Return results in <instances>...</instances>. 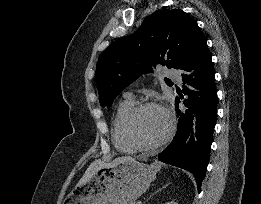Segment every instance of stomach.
Masks as SVG:
<instances>
[{"instance_id": "obj_1", "label": "stomach", "mask_w": 261, "mask_h": 204, "mask_svg": "<svg viewBox=\"0 0 261 204\" xmlns=\"http://www.w3.org/2000/svg\"><path fill=\"white\" fill-rule=\"evenodd\" d=\"M160 165L136 160L103 167L83 185L77 184L63 204H135L156 178Z\"/></svg>"}]
</instances>
